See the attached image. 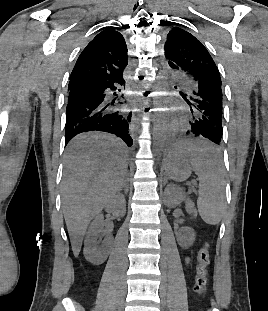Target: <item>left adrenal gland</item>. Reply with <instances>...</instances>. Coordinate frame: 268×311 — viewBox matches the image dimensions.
I'll return each instance as SVG.
<instances>
[{
	"label": "left adrenal gland",
	"mask_w": 268,
	"mask_h": 311,
	"mask_svg": "<svg viewBox=\"0 0 268 311\" xmlns=\"http://www.w3.org/2000/svg\"><path fill=\"white\" fill-rule=\"evenodd\" d=\"M167 183V177L164 178V185Z\"/></svg>",
	"instance_id": "left-adrenal-gland-1"
}]
</instances>
